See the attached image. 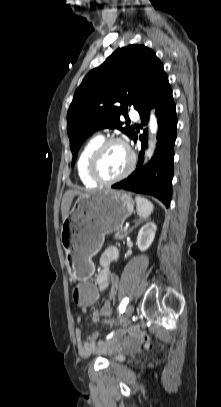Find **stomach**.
I'll use <instances>...</instances> for the list:
<instances>
[{"instance_id":"stomach-1","label":"stomach","mask_w":221,"mask_h":407,"mask_svg":"<svg viewBox=\"0 0 221 407\" xmlns=\"http://www.w3.org/2000/svg\"><path fill=\"white\" fill-rule=\"evenodd\" d=\"M134 210L123 191L103 190L81 195L61 227L66 265L74 280L84 281L93 271L92 257L101 249L105 235L118 231Z\"/></svg>"}]
</instances>
